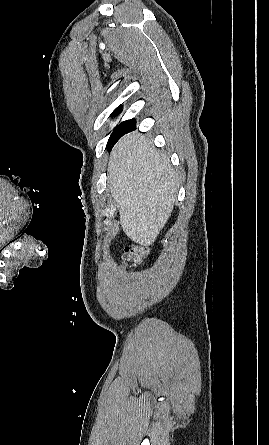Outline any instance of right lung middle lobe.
Listing matches in <instances>:
<instances>
[{
    "label": "right lung middle lobe",
    "mask_w": 269,
    "mask_h": 445,
    "mask_svg": "<svg viewBox=\"0 0 269 445\" xmlns=\"http://www.w3.org/2000/svg\"><path fill=\"white\" fill-rule=\"evenodd\" d=\"M121 111H122V107L121 106L117 107L113 111L112 116H117ZM135 123H136L135 119L126 120V121L120 123L113 130V132L107 142V147H109L112 144H115L121 136H123L127 131H129L132 127L135 126Z\"/></svg>",
    "instance_id": "dd1d6c3e"
}]
</instances>
